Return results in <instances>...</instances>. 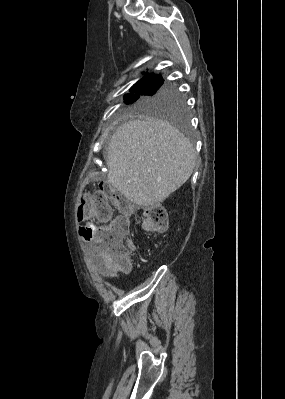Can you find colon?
<instances>
[{
    "instance_id": "colon-1",
    "label": "colon",
    "mask_w": 285,
    "mask_h": 399,
    "mask_svg": "<svg viewBox=\"0 0 285 399\" xmlns=\"http://www.w3.org/2000/svg\"><path fill=\"white\" fill-rule=\"evenodd\" d=\"M114 206L127 208V204L116 190L109 184L102 183L98 189L81 194L77 216L79 221L98 220L103 223L95 226L93 241L98 244L108 260L118 269L124 270L128 267L133 253V243L129 234L130 221L127 215L111 220V208ZM129 213L138 215L146 230L166 233L167 216L161 205L153 204L144 209L134 208L129 210Z\"/></svg>"
}]
</instances>
